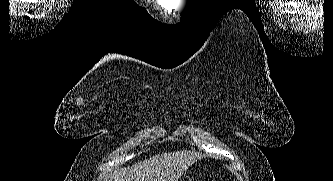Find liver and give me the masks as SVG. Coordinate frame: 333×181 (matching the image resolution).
<instances>
[{"label":"liver","mask_w":333,"mask_h":181,"mask_svg":"<svg viewBox=\"0 0 333 181\" xmlns=\"http://www.w3.org/2000/svg\"><path fill=\"white\" fill-rule=\"evenodd\" d=\"M201 157V154L187 150L159 154L115 170L105 181H178Z\"/></svg>","instance_id":"liver-1"}]
</instances>
